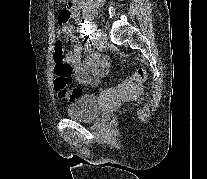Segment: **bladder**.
Returning a JSON list of instances; mask_svg holds the SVG:
<instances>
[{
  "mask_svg": "<svg viewBox=\"0 0 207 179\" xmlns=\"http://www.w3.org/2000/svg\"><path fill=\"white\" fill-rule=\"evenodd\" d=\"M99 110V99L91 94H83L73 99L66 113L69 118L78 121L93 120Z\"/></svg>",
  "mask_w": 207,
  "mask_h": 179,
  "instance_id": "1",
  "label": "bladder"
}]
</instances>
